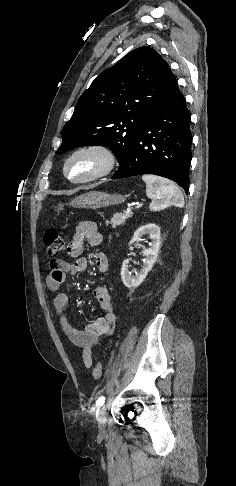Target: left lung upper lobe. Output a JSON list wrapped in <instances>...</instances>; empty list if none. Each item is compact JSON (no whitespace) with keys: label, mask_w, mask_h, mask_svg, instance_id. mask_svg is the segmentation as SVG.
<instances>
[{"label":"left lung upper lobe","mask_w":236,"mask_h":486,"mask_svg":"<svg viewBox=\"0 0 236 486\" xmlns=\"http://www.w3.org/2000/svg\"><path fill=\"white\" fill-rule=\"evenodd\" d=\"M177 86L168 63L140 47L103 71L80 96L57 153L109 146L121 163L155 110Z\"/></svg>","instance_id":"5c2ea615"}]
</instances>
